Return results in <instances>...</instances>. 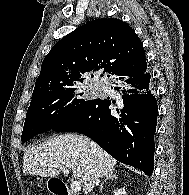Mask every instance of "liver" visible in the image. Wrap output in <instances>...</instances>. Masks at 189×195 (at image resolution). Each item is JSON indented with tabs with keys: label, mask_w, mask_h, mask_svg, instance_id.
Listing matches in <instances>:
<instances>
[{
	"label": "liver",
	"mask_w": 189,
	"mask_h": 195,
	"mask_svg": "<svg viewBox=\"0 0 189 195\" xmlns=\"http://www.w3.org/2000/svg\"><path fill=\"white\" fill-rule=\"evenodd\" d=\"M117 161L89 138L77 134H61L25 151L23 172L42 177H56L60 170L53 165L72 169L73 177L82 185L83 193L89 194L95 180L104 177Z\"/></svg>",
	"instance_id": "1"
}]
</instances>
